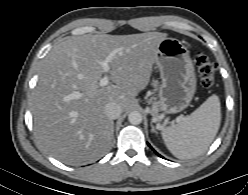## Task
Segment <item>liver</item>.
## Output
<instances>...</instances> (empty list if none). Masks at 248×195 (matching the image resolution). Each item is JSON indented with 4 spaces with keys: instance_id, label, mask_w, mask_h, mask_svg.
<instances>
[{
    "instance_id": "6515ba94",
    "label": "liver",
    "mask_w": 248,
    "mask_h": 195,
    "mask_svg": "<svg viewBox=\"0 0 248 195\" xmlns=\"http://www.w3.org/2000/svg\"><path fill=\"white\" fill-rule=\"evenodd\" d=\"M166 33L85 34L56 44L43 59L31 112L38 142L53 157L80 165L109 149L114 123L105 106L118 103L127 111L150 81L158 45ZM113 54L107 73L112 83L101 87L106 73L100 61Z\"/></svg>"
}]
</instances>
